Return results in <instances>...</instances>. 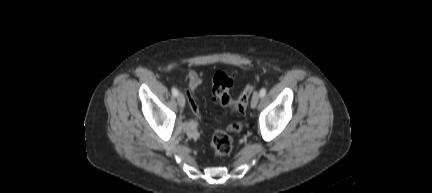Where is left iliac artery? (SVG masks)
Wrapping results in <instances>:
<instances>
[{"instance_id":"44dca946","label":"left iliac artery","mask_w":432,"mask_h":193,"mask_svg":"<svg viewBox=\"0 0 432 193\" xmlns=\"http://www.w3.org/2000/svg\"><path fill=\"white\" fill-rule=\"evenodd\" d=\"M260 97H264L265 96V94H266V89L265 88H262L261 90H260Z\"/></svg>"}]
</instances>
